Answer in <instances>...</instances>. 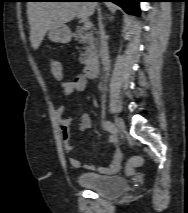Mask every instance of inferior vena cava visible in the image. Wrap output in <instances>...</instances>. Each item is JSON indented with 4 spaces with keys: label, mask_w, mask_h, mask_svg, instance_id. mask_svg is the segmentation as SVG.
<instances>
[{
    "label": "inferior vena cava",
    "mask_w": 188,
    "mask_h": 213,
    "mask_svg": "<svg viewBox=\"0 0 188 213\" xmlns=\"http://www.w3.org/2000/svg\"><path fill=\"white\" fill-rule=\"evenodd\" d=\"M100 9H98L99 14ZM99 30H100V58L103 65V71L108 74L110 69L109 64V52L107 44V36L105 35L104 26L101 19L99 18Z\"/></svg>",
    "instance_id": "1"
}]
</instances>
